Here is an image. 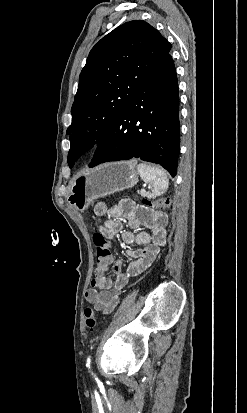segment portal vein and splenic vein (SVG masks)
<instances>
[{
	"instance_id": "1",
	"label": "portal vein and splenic vein",
	"mask_w": 247,
	"mask_h": 413,
	"mask_svg": "<svg viewBox=\"0 0 247 413\" xmlns=\"http://www.w3.org/2000/svg\"><path fill=\"white\" fill-rule=\"evenodd\" d=\"M143 192H145L144 188H142Z\"/></svg>"
}]
</instances>
